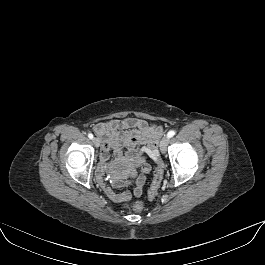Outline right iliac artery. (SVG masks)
Returning a JSON list of instances; mask_svg holds the SVG:
<instances>
[{"instance_id":"82829eb1","label":"right iliac artery","mask_w":265,"mask_h":265,"mask_svg":"<svg viewBox=\"0 0 265 265\" xmlns=\"http://www.w3.org/2000/svg\"><path fill=\"white\" fill-rule=\"evenodd\" d=\"M88 137H89L90 139H93V134L89 133V134H88Z\"/></svg>"}]
</instances>
